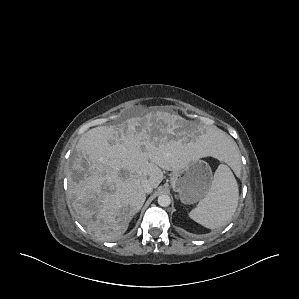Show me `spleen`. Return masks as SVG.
Returning <instances> with one entry per match:
<instances>
[{
	"mask_svg": "<svg viewBox=\"0 0 299 299\" xmlns=\"http://www.w3.org/2000/svg\"><path fill=\"white\" fill-rule=\"evenodd\" d=\"M221 161H226L223 157ZM239 199L237 181L226 164L217 168L209 193L191 210L189 217L209 229L228 223L234 215Z\"/></svg>",
	"mask_w": 299,
	"mask_h": 299,
	"instance_id": "3e777b00",
	"label": "spleen"
}]
</instances>
